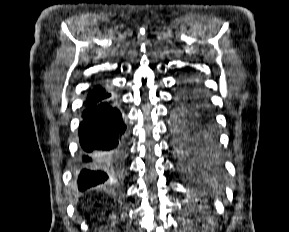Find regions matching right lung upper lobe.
I'll return each instance as SVG.
<instances>
[{"instance_id":"cb5924a9","label":"right lung upper lobe","mask_w":289,"mask_h":232,"mask_svg":"<svg viewBox=\"0 0 289 232\" xmlns=\"http://www.w3.org/2000/svg\"><path fill=\"white\" fill-rule=\"evenodd\" d=\"M111 96V93L102 88L101 86H96L94 89L88 94L87 99H100Z\"/></svg>"}]
</instances>
